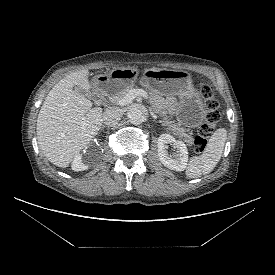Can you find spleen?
Wrapping results in <instances>:
<instances>
[{"label":"spleen","mask_w":275,"mask_h":275,"mask_svg":"<svg viewBox=\"0 0 275 275\" xmlns=\"http://www.w3.org/2000/svg\"><path fill=\"white\" fill-rule=\"evenodd\" d=\"M227 139L224 128L217 129L208 141L203 153L199 157H192L185 171L188 178H199L210 173L218 164Z\"/></svg>","instance_id":"obj_1"}]
</instances>
